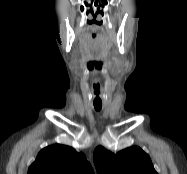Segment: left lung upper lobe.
I'll return each mask as SVG.
<instances>
[{
    "mask_svg": "<svg viewBox=\"0 0 187 174\" xmlns=\"http://www.w3.org/2000/svg\"><path fill=\"white\" fill-rule=\"evenodd\" d=\"M97 174H158L149 156L139 147H129L117 154L99 146L94 151Z\"/></svg>",
    "mask_w": 187,
    "mask_h": 174,
    "instance_id": "5c2ea615",
    "label": "left lung upper lobe"
}]
</instances>
